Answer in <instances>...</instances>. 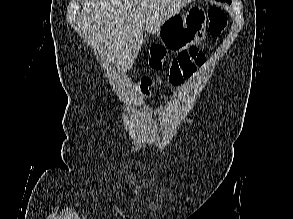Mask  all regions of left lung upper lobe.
Returning a JSON list of instances; mask_svg holds the SVG:
<instances>
[{
  "label": "left lung upper lobe",
  "mask_w": 293,
  "mask_h": 219,
  "mask_svg": "<svg viewBox=\"0 0 293 219\" xmlns=\"http://www.w3.org/2000/svg\"><path fill=\"white\" fill-rule=\"evenodd\" d=\"M220 1H224V2L231 4V0H220Z\"/></svg>",
  "instance_id": "5c2ea615"
}]
</instances>
